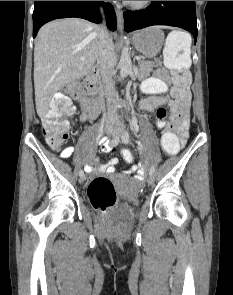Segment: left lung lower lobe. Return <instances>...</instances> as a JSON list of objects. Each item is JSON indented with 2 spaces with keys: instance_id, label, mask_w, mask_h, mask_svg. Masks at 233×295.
I'll use <instances>...</instances> for the list:
<instances>
[{
  "instance_id": "0a47b994",
  "label": "left lung lower lobe",
  "mask_w": 233,
  "mask_h": 295,
  "mask_svg": "<svg viewBox=\"0 0 233 295\" xmlns=\"http://www.w3.org/2000/svg\"><path fill=\"white\" fill-rule=\"evenodd\" d=\"M127 32L151 25H170L188 30L197 40L195 1H153L145 10L124 12Z\"/></svg>"
}]
</instances>
